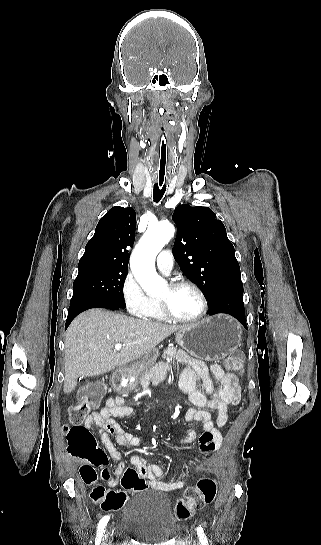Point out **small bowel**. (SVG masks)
<instances>
[{"label":"small bowel","instance_id":"small-bowel-1","mask_svg":"<svg viewBox=\"0 0 321 545\" xmlns=\"http://www.w3.org/2000/svg\"><path fill=\"white\" fill-rule=\"evenodd\" d=\"M188 367L180 376V387L188 395L192 406L187 410L185 419L189 422H199L202 424L203 432L198 436L193 428L186 429V436L181 439L177 446H185L193 443L197 438L202 452L207 453L218 449L222 443V436L219 428L227 423V411L230 405H236L240 401L241 387L237 377L228 374L221 365L211 364L209 367L202 361L196 359H187ZM210 373L219 383V389L214 388ZM202 383V390L197 387V383ZM132 412L130 406L122 397L109 398L104 407L88 415L85 419V425L95 428L101 437L109 457L103 452L102 457L94 460H88L80 468V474L86 484H94L98 475L95 468H103L101 477L109 487H115L121 481L125 472V462L121 452L117 449L111 435L115 441L124 446L131 452L130 462L140 476L149 480L154 489L169 492L182 489L186 481L178 480L174 482H164L162 468L155 462L143 458L134 452L140 448L141 440L139 437L126 432L115 418L129 416ZM211 412L216 414L214 422ZM109 458L117 463L113 475H110L105 468L108 465Z\"/></svg>","mask_w":321,"mask_h":545}]
</instances>
